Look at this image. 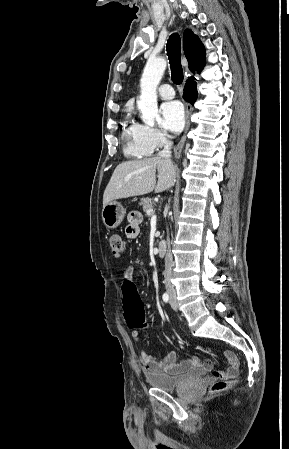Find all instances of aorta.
Here are the masks:
<instances>
[{
    "mask_svg": "<svg viewBox=\"0 0 289 449\" xmlns=\"http://www.w3.org/2000/svg\"><path fill=\"white\" fill-rule=\"evenodd\" d=\"M166 65L164 58H149L140 80L141 95L137 105L142 114V121L149 126H153L158 117L157 86Z\"/></svg>",
    "mask_w": 289,
    "mask_h": 449,
    "instance_id": "1",
    "label": "aorta"
}]
</instances>
